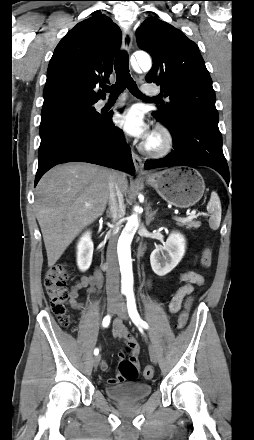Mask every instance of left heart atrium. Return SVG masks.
<instances>
[{
    "label": "left heart atrium",
    "mask_w": 254,
    "mask_h": 440,
    "mask_svg": "<svg viewBox=\"0 0 254 440\" xmlns=\"http://www.w3.org/2000/svg\"><path fill=\"white\" fill-rule=\"evenodd\" d=\"M116 124L133 137L146 140L151 137L149 126L144 121L143 114L139 108L132 107L118 115Z\"/></svg>",
    "instance_id": "left-heart-atrium-1"
}]
</instances>
